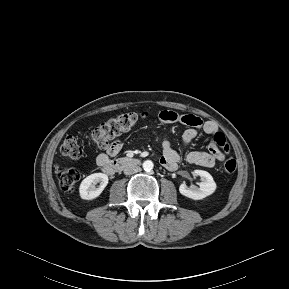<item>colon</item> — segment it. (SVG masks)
<instances>
[{
	"label": "colon",
	"instance_id": "colon-1",
	"mask_svg": "<svg viewBox=\"0 0 289 289\" xmlns=\"http://www.w3.org/2000/svg\"><path fill=\"white\" fill-rule=\"evenodd\" d=\"M146 117L145 113H124L109 119L95 128L91 133V140L100 150L109 147L110 141L123 132L130 130L140 119ZM212 147L221 148L224 153L230 152V146L223 133L217 132L211 141ZM60 151L69 158H79L82 155V148L75 136H67L61 144ZM236 161L228 157L224 163V170L232 174L236 170ZM57 178L60 188L66 193H72L80 179L79 173L74 168H60L57 171Z\"/></svg>",
	"mask_w": 289,
	"mask_h": 289
}]
</instances>
